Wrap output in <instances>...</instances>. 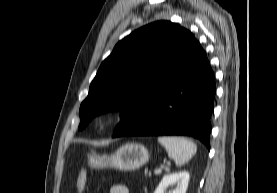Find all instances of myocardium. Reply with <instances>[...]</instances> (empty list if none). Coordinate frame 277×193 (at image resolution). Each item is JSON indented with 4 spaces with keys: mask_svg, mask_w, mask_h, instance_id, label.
<instances>
[{
    "mask_svg": "<svg viewBox=\"0 0 277 193\" xmlns=\"http://www.w3.org/2000/svg\"><path fill=\"white\" fill-rule=\"evenodd\" d=\"M121 118V114L115 110L102 112L97 117V122L100 126L109 127L115 125Z\"/></svg>",
    "mask_w": 277,
    "mask_h": 193,
    "instance_id": "1",
    "label": "myocardium"
}]
</instances>
